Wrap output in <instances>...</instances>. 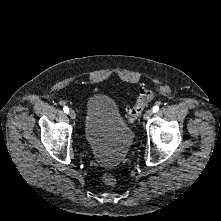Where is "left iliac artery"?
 Segmentation results:
<instances>
[{"instance_id": "44dca946", "label": "left iliac artery", "mask_w": 221, "mask_h": 221, "mask_svg": "<svg viewBox=\"0 0 221 221\" xmlns=\"http://www.w3.org/2000/svg\"><path fill=\"white\" fill-rule=\"evenodd\" d=\"M159 110V106H157V105H155L154 107H153V109H152V111L155 113V112H157Z\"/></svg>"}]
</instances>
